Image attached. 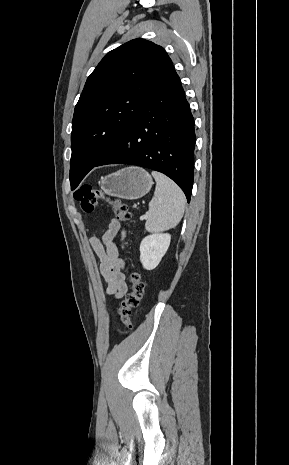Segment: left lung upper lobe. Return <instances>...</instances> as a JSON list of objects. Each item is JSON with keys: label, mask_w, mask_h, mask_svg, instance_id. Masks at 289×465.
Segmentation results:
<instances>
[{"label": "left lung upper lobe", "mask_w": 289, "mask_h": 465, "mask_svg": "<svg viewBox=\"0 0 289 465\" xmlns=\"http://www.w3.org/2000/svg\"><path fill=\"white\" fill-rule=\"evenodd\" d=\"M175 73L166 51L144 39L110 51L75 106L70 182L74 190L133 122L146 98Z\"/></svg>", "instance_id": "5c2ea615"}]
</instances>
